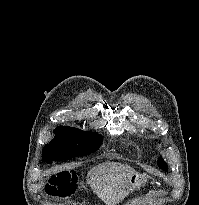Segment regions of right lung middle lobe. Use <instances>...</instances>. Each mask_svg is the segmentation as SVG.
Here are the masks:
<instances>
[{
    "label": "right lung middle lobe",
    "mask_w": 199,
    "mask_h": 205,
    "mask_svg": "<svg viewBox=\"0 0 199 205\" xmlns=\"http://www.w3.org/2000/svg\"><path fill=\"white\" fill-rule=\"evenodd\" d=\"M55 137L42 150V160L48 164L86 156L98 150L102 137L95 132L59 126L54 130Z\"/></svg>",
    "instance_id": "1"
}]
</instances>
